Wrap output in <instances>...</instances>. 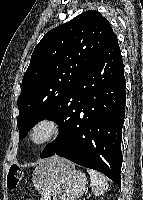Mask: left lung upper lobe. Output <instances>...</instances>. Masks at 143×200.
Here are the masks:
<instances>
[{
  "label": "left lung upper lobe",
  "instance_id": "5c2ea615",
  "mask_svg": "<svg viewBox=\"0 0 143 200\" xmlns=\"http://www.w3.org/2000/svg\"><path fill=\"white\" fill-rule=\"evenodd\" d=\"M115 36L109 21L94 10L44 35L32 53L18 97L20 139L42 118L66 127L69 95Z\"/></svg>",
  "mask_w": 143,
  "mask_h": 200
}]
</instances>
